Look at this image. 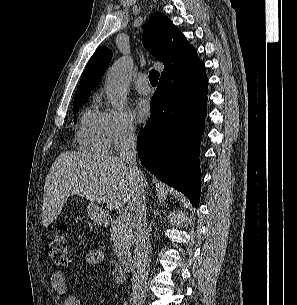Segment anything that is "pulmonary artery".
Wrapping results in <instances>:
<instances>
[{"mask_svg": "<svg viewBox=\"0 0 297 305\" xmlns=\"http://www.w3.org/2000/svg\"><path fill=\"white\" fill-rule=\"evenodd\" d=\"M135 88L141 95H148L151 93V87L148 84V76L140 74L135 82Z\"/></svg>", "mask_w": 297, "mask_h": 305, "instance_id": "e3ab8cb5", "label": "pulmonary artery"}]
</instances>
